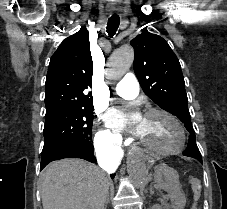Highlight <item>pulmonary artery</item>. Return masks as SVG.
Wrapping results in <instances>:
<instances>
[{
	"label": "pulmonary artery",
	"mask_w": 227,
	"mask_h": 209,
	"mask_svg": "<svg viewBox=\"0 0 227 209\" xmlns=\"http://www.w3.org/2000/svg\"><path fill=\"white\" fill-rule=\"evenodd\" d=\"M139 92V83L135 73H124L122 79L115 87V94L124 98H134Z\"/></svg>",
	"instance_id": "obj_1"
}]
</instances>
